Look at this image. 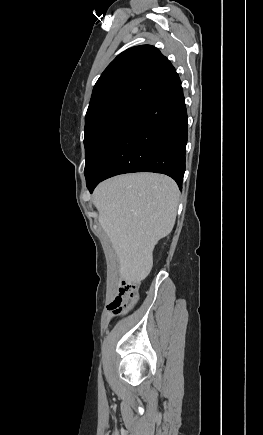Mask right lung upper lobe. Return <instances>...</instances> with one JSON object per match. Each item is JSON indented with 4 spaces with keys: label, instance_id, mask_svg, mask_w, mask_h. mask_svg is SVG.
<instances>
[{
    "label": "right lung upper lobe",
    "instance_id": "right-lung-upper-lobe-1",
    "mask_svg": "<svg viewBox=\"0 0 263 435\" xmlns=\"http://www.w3.org/2000/svg\"><path fill=\"white\" fill-rule=\"evenodd\" d=\"M177 77L173 65L157 48H129L108 65L96 82L86 117L105 104L124 100L145 103Z\"/></svg>",
    "mask_w": 263,
    "mask_h": 435
}]
</instances>
